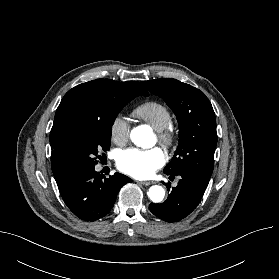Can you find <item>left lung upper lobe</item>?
<instances>
[{
  "instance_id": "obj_1",
  "label": "left lung upper lobe",
  "mask_w": 279,
  "mask_h": 279,
  "mask_svg": "<svg viewBox=\"0 0 279 279\" xmlns=\"http://www.w3.org/2000/svg\"><path fill=\"white\" fill-rule=\"evenodd\" d=\"M151 92L163 98L179 124V145L164 173H188L210 180L217 144L216 119L208 98L199 89L176 79L143 81Z\"/></svg>"
}]
</instances>
